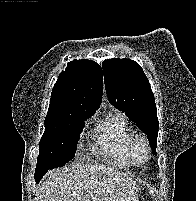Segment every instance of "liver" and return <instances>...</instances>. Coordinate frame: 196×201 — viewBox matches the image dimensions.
<instances>
[{"label":"liver","instance_id":"6515ba94","mask_svg":"<svg viewBox=\"0 0 196 201\" xmlns=\"http://www.w3.org/2000/svg\"><path fill=\"white\" fill-rule=\"evenodd\" d=\"M136 182L111 166L68 165L46 174L39 184L41 201H128Z\"/></svg>","mask_w":196,"mask_h":201}]
</instances>
